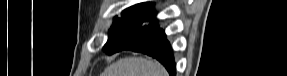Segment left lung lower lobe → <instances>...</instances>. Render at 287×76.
Returning a JSON list of instances; mask_svg holds the SVG:
<instances>
[{
  "instance_id": "obj_1",
  "label": "left lung lower lobe",
  "mask_w": 287,
  "mask_h": 76,
  "mask_svg": "<svg viewBox=\"0 0 287 76\" xmlns=\"http://www.w3.org/2000/svg\"><path fill=\"white\" fill-rule=\"evenodd\" d=\"M121 50H132L152 56L165 66L170 75H175V63L171 48L164 31L160 28L150 32L141 40L123 47L119 51Z\"/></svg>"
}]
</instances>
